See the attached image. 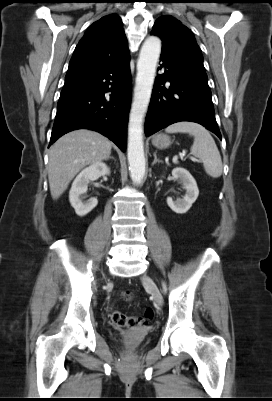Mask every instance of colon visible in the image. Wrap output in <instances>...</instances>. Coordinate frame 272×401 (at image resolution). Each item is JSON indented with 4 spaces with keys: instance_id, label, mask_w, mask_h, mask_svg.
<instances>
[{
    "instance_id": "1",
    "label": "colon",
    "mask_w": 272,
    "mask_h": 401,
    "mask_svg": "<svg viewBox=\"0 0 272 401\" xmlns=\"http://www.w3.org/2000/svg\"><path fill=\"white\" fill-rule=\"evenodd\" d=\"M123 297L125 300H130L131 299V294L130 292L126 291L123 293ZM154 316V311L152 308H147L146 313L144 317H128L118 311H114L111 314V320L113 324L116 327L119 328H137V327H142L147 324L152 320Z\"/></svg>"
}]
</instances>
